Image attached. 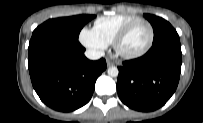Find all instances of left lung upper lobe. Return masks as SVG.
I'll use <instances>...</instances> for the list:
<instances>
[{"label": "left lung upper lobe", "instance_id": "5c2ea615", "mask_svg": "<svg viewBox=\"0 0 203 123\" xmlns=\"http://www.w3.org/2000/svg\"><path fill=\"white\" fill-rule=\"evenodd\" d=\"M144 17L151 23L153 27V45L170 36H178L176 30L163 18L151 14H144Z\"/></svg>", "mask_w": 203, "mask_h": 123}]
</instances>
